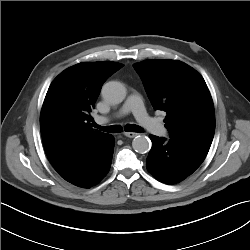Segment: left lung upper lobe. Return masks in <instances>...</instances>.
<instances>
[{
	"instance_id": "obj_1",
	"label": "left lung upper lobe",
	"mask_w": 250,
	"mask_h": 250,
	"mask_svg": "<svg viewBox=\"0 0 250 250\" xmlns=\"http://www.w3.org/2000/svg\"><path fill=\"white\" fill-rule=\"evenodd\" d=\"M155 110L165 111L170 137L213 140V101L202 76L176 60H145L133 65Z\"/></svg>"
}]
</instances>
